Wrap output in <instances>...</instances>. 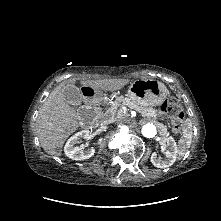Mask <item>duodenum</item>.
<instances>
[{
	"label": "duodenum",
	"mask_w": 221,
	"mask_h": 221,
	"mask_svg": "<svg viewBox=\"0 0 221 221\" xmlns=\"http://www.w3.org/2000/svg\"><path fill=\"white\" fill-rule=\"evenodd\" d=\"M80 97L85 101L86 108L80 115L82 124L86 125L97 119V110H92V107H100L103 102L109 103L117 97L115 88L93 87L90 85L84 86L80 90Z\"/></svg>",
	"instance_id": "1"
}]
</instances>
